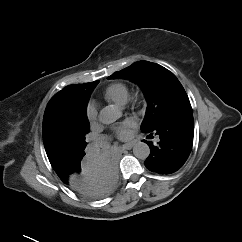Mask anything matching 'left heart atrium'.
Segmentation results:
<instances>
[{
	"instance_id": "left-heart-atrium-1",
	"label": "left heart atrium",
	"mask_w": 242,
	"mask_h": 242,
	"mask_svg": "<svg viewBox=\"0 0 242 242\" xmlns=\"http://www.w3.org/2000/svg\"><path fill=\"white\" fill-rule=\"evenodd\" d=\"M135 126L133 120H125L114 128L116 136L121 140H127L130 137L131 129Z\"/></svg>"
}]
</instances>
